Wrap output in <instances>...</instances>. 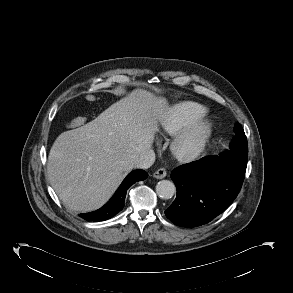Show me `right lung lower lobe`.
Masks as SVG:
<instances>
[{"instance_id": "98d812e1", "label": "right lung lower lobe", "mask_w": 293, "mask_h": 293, "mask_svg": "<svg viewBox=\"0 0 293 293\" xmlns=\"http://www.w3.org/2000/svg\"><path fill=\"white\" fill-rule=\"evenodd\" d=\"M147 177V172L143 170L131 172L124 179L112 198L102 208L91 213L80 214V216L87 221H104L115 216L124 207L126 192L129 187L138 181L145 180Z\"/></svg>"}]
</instances>
